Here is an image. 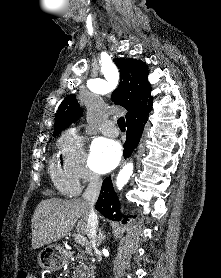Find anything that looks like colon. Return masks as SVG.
Segmentation results:
<instances>
[{"instance_id":"obj_1","label":"colon","mask_w":221,"mask_h":278,"mask_svg":"<svg viewBox=\"0 0 221 278\" xmlns=\"http://www.w3.org/2000/svg\"><path fill=\"white\" fill-rule=\"evenodd\" d=\"M18 278H36V276L27 271H21L18 275Z\"/></svg>"}]
</instances>
